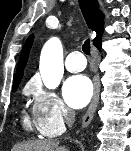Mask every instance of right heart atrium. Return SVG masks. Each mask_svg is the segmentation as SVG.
I'll use <instances>...</instances> for the list:
<instances>
[{
    "mask_svg": "<svg viewBox=\"0 0 131 151\" xmlns=\"http://www.w3.org/2000/svg\"><path fill=\"white\" fill-rule=\"evenodd\" d=\"M30 91L34 96L33 110L39 132L47 137L62 133L71 113L60 97L54 91L46 90L38 84H33Z\"/></svg>",
    "mask_w": 131,
    "mask_h": 151,
    "instance_id": "d8ad5b80",
    "label": "right heart atrium"
}]
</instances>
